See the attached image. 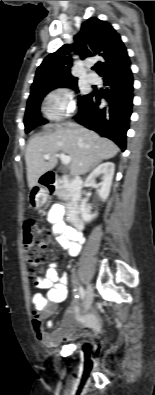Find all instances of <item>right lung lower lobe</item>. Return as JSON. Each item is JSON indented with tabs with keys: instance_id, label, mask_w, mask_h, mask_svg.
Masks as SVG:
<instances>
[{
	"instance_id": "obj_1",
	"label": "right lung lower lobe",
	"mask_w": 155,
	"mask_h": 395,
	"mask_svg": "<svg viewBox=\"0 0 155 395\" xmlns=\"http://www.w3.org/2000/svg\"><path fill=\"white\" fill-rule=\"evenodd\" d=\"M101 76L110 89L85 95L79 102L75 120L113 140L124 151L133 106V73L128 64ZM101 98L106 100V105L100 106Z\"/></svg>"
}]
</instances>
